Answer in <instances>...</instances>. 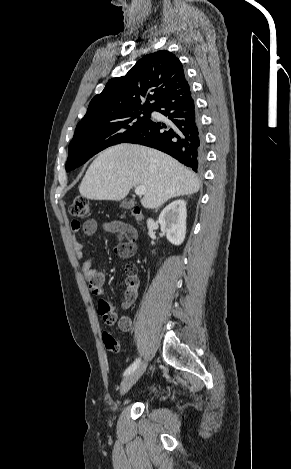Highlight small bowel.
<instances>
[{
  "instance_id": "small-bowel-1",
  "label": "small bowel",
  "mask_w": 291,
  "mask_h": 469,
  "mask_svg": "<svg viewBox=\"0 0 291 469\" xmlns=\"http://www.w3.org/2000/svg\"><path fill=\"white\" fill-rule=\"evenodd\" d=\"M71 227L74 232V236L72 238L73 248H74L75 256L77 260L80 262L81 271L84 275V278L87 280L89 287L93 291V293L96 294L97 296H100L101 294H103V285L106 279V269L104 268L92 269L91 260L89 259L84 260L85 253L83 250V244L79 236L77 235V233L82 229L86 234H93L100 227H102V229L106 233L114 234L118 238H122L123 236L133 238L134 236L133 230L127 225L120 223V222L107 221L101 224L96 219H91L88 222H86L84 225H81L79 222L73 221L71 224ZM121 244H119L118 246H120ZM131 255L132 254L122 256V257H129ZM127 295H128V290H127V280H126V290L124 294V300L127 298ZM136 296H137V292L134 294L133 300H135ZM118 326L121 331L127 332L131 329V320L128 317H122L120 318L118 322Z\"/></svg>"
}]
</instances>
